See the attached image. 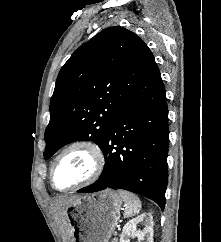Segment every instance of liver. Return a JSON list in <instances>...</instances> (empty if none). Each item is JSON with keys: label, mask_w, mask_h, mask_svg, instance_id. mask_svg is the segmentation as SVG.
<instances>
[{"label": "liver", "mask_w": 221, "mask_h": 242, "mask_svg": "<svg viewBox=\"0 0 221 242\" xmlns=\"http://www.w3.org/2000/svg\"><path fill=\"white\" fill-rule=\"evenodd\" d=\"M78 197H66L57 200L53 205V211L56 213V217L63 226L66 227L67 236L66 239H70L72 232L66 216V208Z\"/></svg>", "instance_id": "liver-1"}]
</instances>
